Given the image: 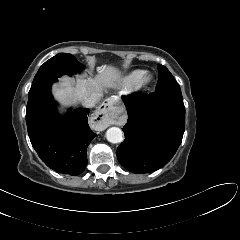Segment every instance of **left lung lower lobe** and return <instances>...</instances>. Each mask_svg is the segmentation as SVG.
<instances>
[{"label": "left lung lower lobe", "mask_w": 240, "mask_h": 240, "mask_svg": "<svg viewBox=\"0 0 240 240\" xmlns=\"http://www.w3.org/2000/svg\"><path fill=\"white\" fill-rule=\"evenodd\" d=\"M128 120L125 140L117 148L120 164L133 173L164 166L176 153L185 130L181 90L163 89L122 97Z\"/></svg>", "instance_id": "obj_1"}]
</instances>
